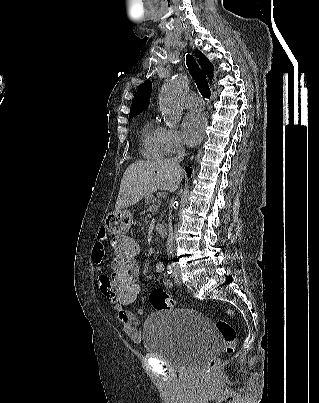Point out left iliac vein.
Here are the masks:
<instances>
[{"mask_svg":"<svg viewBox=\"0 0 319 403\" xmlns=\"http://www.w3.org/2000/svg\"><path fill=\"white\" fill-rule=\"evenodd\" d=\"M173 269H174L173 276H174L175 281L178 284H182L181 271H180L179 267L177 265H173Z\"/></svg>","mask_w":319,"mask_h":403,"instance_id":"left-iliac-vein-1","label":"left iliac vein"}]
</instances>
